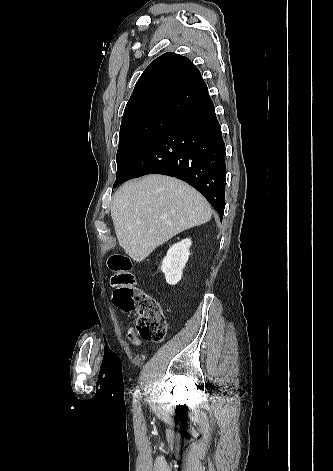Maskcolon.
<instances>
[{
    "label": "colon",
    "instance_id": "obj_1",
    "mask_svg": "<svg viewBox=\"0 0 333 471\" xmlns=\"http://www.w3.org/2000/svg\"><path fill=\"white\" fill-rule=\"evenodd\" d=\"M112 273L111 283L115 287L114 304L123 311L137 314L136 327L139 334L151 341L164 339L167 322L159 302L136 285L130 259L122 254H114L107 260Z\"/></svg>",
    "mask_w": 333,
    "mask_h": 471
}]
</instances>
